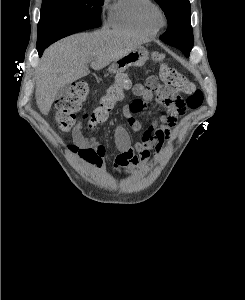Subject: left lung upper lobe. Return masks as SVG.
<instances>
[{
	"mask_svg": "<svg viewBox=\"0 0 245 300\" xmlns=\"http://www.w3.org/2000/svg\"><path fill=\"white\" fill-rule=\"evenodd\" d=\"M168 19V29L160 39L174 47L183 45L187 52L193 47V31L190 24L189 0H155Z\"/></svg>",
	"mask_w": 245,
	"mask_h": 300,
	"instance_id": "1",
	"label": "left lung upper lobe"
}]
</instances>
